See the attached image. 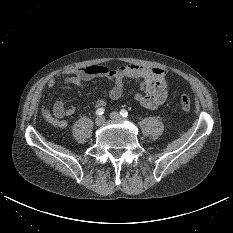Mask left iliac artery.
<instances>
[{"mask_svg":"<svg viewBox=\"0 0 233 233\" xmlns=\"http://www.w3.org/2000/svg\"><path fill=\"white\" fill-rule=\"evenodd\" d=\"M120 114H121L123 117H127V116H128V112H127V110H125V109H122V110L120 111Z\"/></svg>","mask_w":233,"mask_h":233,"instance_id":"obj_1","label":"left iliac artery"}]
</instances>
